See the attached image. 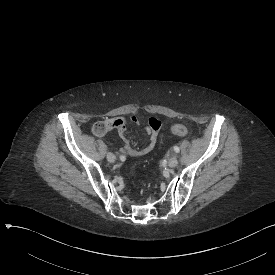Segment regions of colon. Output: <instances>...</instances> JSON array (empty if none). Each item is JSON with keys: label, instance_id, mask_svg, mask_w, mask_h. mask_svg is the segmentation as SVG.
Listing matches in <instances>:
<instances>
[{"label": "colon", "instance_id": "obj_1", "mask_svg": "<svg viewBox=\"0 0 275 275\" xmlns=\"http://www.w3.org/2000/svg\"><path fill=\"white\" fill-rule=\"evenodd\" d=\"M170 131L177 136H186L188 134V129L181 124H172L170 126ZM92 132L96 136H103L107 132V125L103 121H96L92 125Z\"/></svg>", "mask_w": 275, "mask_h": 275}]
</instances>
